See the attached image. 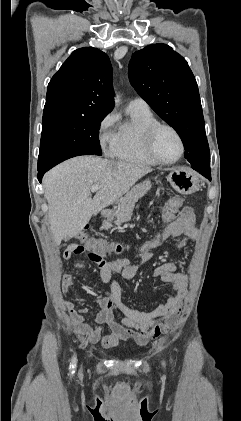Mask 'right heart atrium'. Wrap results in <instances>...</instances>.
<instances>
[{
	"mask_svg": "<svg viewBox=\"0 0 241 421\" xmlns=\"http://www.w3.org/2000/svg\"><path fill=\"white\" fill-rule=\"evenodd\" d=\"M116 122V116L113 112L107 113L99 122L98 125V140L102 150L106 153H110L114 139L115 131L114 125Z\"/></svg>",
	"mask_w": 241,
	"mask_h": 421,
	"instance_id": "d8ad5b80",
	"label": "right heart atrium"
}]
</instances>
